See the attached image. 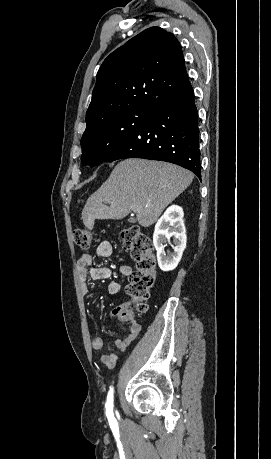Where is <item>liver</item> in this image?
Returning <instances> with one entry per match:
<instances>
[{"label":"liver","mask_w":271,"mask_h":459,"mask_svg":"<svg viewBox=\"0 0 271 459\" xmlns=\"http://www.w3.org/2000/svg\"><path fill=\"white\" fill-rule=\"evenodd\" d=\"M193 178L188 170L167 162L123 160L88 198L82 210L83 224L93 229L94 220H122L132 210L140 226L149 228Z\"/></svg>","instance_id":"liver-1"}]
</instances>
